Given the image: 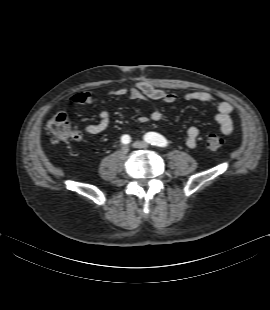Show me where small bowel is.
<instances>
[{
	"mask_svg": "<svg viewBox=\"0 0 270 310\" xmlns=\"http://www.w3.org/2000/svg\"><path fill=\"white\" fill-rule=\"evenodd\" d=\"M111 97L120 98L127 96L133 100H146V101H162L167 104H172L177 101L178 96L173 92H168L159 88H155L152 85L139 82L133 88H118L108 91L107 93ZM186 101H198L208 104H216L218 113L216 114L214 120L219 125L221 132L224 135H229L233 131V121L231 118V113L234 107L231 103L227 101H219L209 93L197 90L186 93L183 96ZM70 100L73 103L79 105H92L96 102L93 95L86 91H78L71 95ZM162 119V114L159 109L153 108L149 115H141L138 121L142 124L147 123L149 120L154 122H159ZM111 121V114L107 110H102L98 115V121L96 123L88 124L83 128V131L88 134H99L105 131ZM78 137L77 141H80L83 137L82 132L77 131ZM199 129L195 126H190L186 130V145L189 148H195L197 146V139L199 136Z\"/></svg>",
	"mask_w": 270,
	"mask_h": 310,
	"instance_id": "small-bowel-1",
	"label": "small bowel"
}]
</instances>
